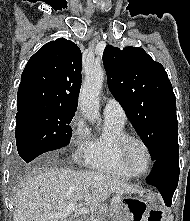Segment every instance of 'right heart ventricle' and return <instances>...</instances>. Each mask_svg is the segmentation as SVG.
<instances>
[{
  "instance_id": "right-heart-ventricle-1",
  "label": "right heart ventricle",
  "mask_w": 190,
  "mask_h": 221,
  "mask_svg": "<svg viewBox=\"0 0 190 221\" xmlns=\"http://www.w3.org/2000/svg\"><path fill=\"white\" fill-rule=\"evenodd\" d=\"M126 134L125 122L105 118L103 130L91 136L90 153L85 165L98 172L125 178L134 177L124 168L118 156L119 141Z\"/></svg>"
}]
</instances>
